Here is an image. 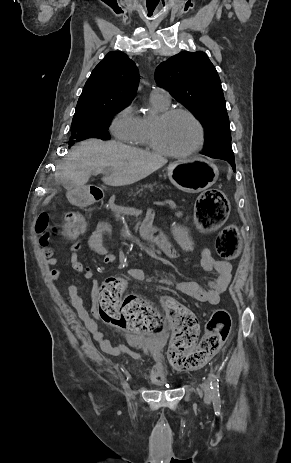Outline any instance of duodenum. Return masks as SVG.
<instances>
[{
  "mask_svg": "<svg viewBox=\"0 0 291 463\" xmlns=\"http://www.w3.org/2000/svg\"><path fill=\"white\" fill-rule=\"evenodd\" d=\"M90 196L93 201H100L104 198V192L99 188H92L90 191ZM157 247L159 248V246Z\"/></svg>",
  "mask_w": 291,
  "mask_h": 463,
  "instance_id": "410a0bca",
  "label": "duodenum"
}]
</instances>
